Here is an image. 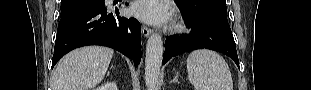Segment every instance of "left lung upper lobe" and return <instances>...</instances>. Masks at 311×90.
Listing matches in <instances>:
<instances>
[{
	"instance_id": "obj_1",
	"label": "left lung upper lobe",
	"mask_w": 311,
	"mask_h": 90,
	"mask_svg": "<svg viewBox=\"0 0 311 90\" xmlns=\"http://www.w3.org/2000/svg\"><path fill=\"white\" fill-rule=\"evenodd\" d=\"M185 19L190 22L211 20L229 26L225 0H175Z\"/></svg>"
}]
</instances>
